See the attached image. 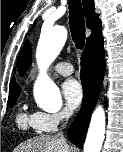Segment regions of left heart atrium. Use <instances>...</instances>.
Here are the masks:
<instances>
[{
    "instance_id": "left-heart-atrium-1",
    "label": "left heart atrium",
    "mask_w": 123,
    "mask_h": 152,
    "mask_svg": "<svg viewBox=\"0 0 123 152\" xmlns=\"http://www.w3.org/2000/svg\"><path fill=\"white\" fill-rule=\"evenodd\" d=\"M62 93L66 105L70 109L77 108L83 99V90L81 84L76 79H68L62 85Z\"/></svg>"
}]
</instances>
